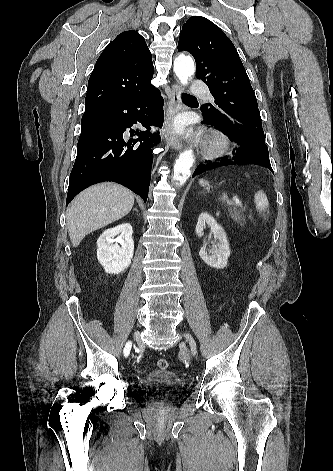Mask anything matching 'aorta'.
Instances as JSON below:
<instances>
[{"label":"aorta","mask_w":333,"mask_h":471,"mask_svg":"<svg viewBox=\"0 0 333 471\" xmlns=\"http://www.w3.org/2000/svg\"><path fill=\"white\" fill-rule=\"evenodd\" d=\"M174 72L182 85L188 83L189 78L195 72L194 61L188 56H179L174 62ZM195 161L193 150L183 151L174 165L173 179L178 185H183L191 174V167Z\"/></svg>","instance_id":"obj_1"}]
</instances>
